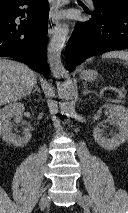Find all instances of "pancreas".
Listing matches in <instances>:
<instances>
[{"instance_id": "pancreas-1", "label": "pancreas", "mask_w": 128, "mask_h": 213, "mask_svg": "<svg viewBox=\"0 0 128 213\" xmlns=\"http://www.w3.org/2000/svg\"><path fill=\"white\" fill-rule=\"evenodd\" d=\"M112 102H115V103H123L124 101L121 100V99H115V100H113Z\"/></svg>"}]
</instances>
